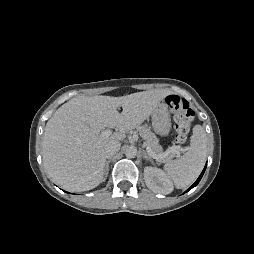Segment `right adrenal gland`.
Returning a JSON list of instances; mask_svg holds the SVG:
<instances>
[{"mask_svg":"<svg viewBox=\"0 0 254 254\" xmlns=\"http://www.w3.org/2000/svg\"><path fill=\"white\" fill-rule=\"evenodd\" d=\"M110 162H111V159L107 160L105 163V169H104L105 178L107 177L108 172H109V163Z\"/></svg>","mask_w":254,"mask_h":254,"instance_id":"1","label":"right adrenal gland"}]
</instances>
